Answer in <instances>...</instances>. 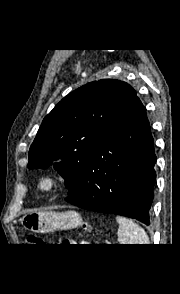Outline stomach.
Here are the masks:
<instances>
[{
  "label": "stomach",
  "instance_id": "stomach-1",
  "mask_svg": "<svg viewBox=\"0 0 180 294\" xmlns=\"http://www.w3.org/2000/svg\"><path fill=\"white\" fill-rule=\"evenodd\" d=\"M21 225L32 232L48 233L56 230H68L78 227L82 218L76 211L32 212L20 218Z\"/></svg>",
  "mask_w": 180,
  "mask_h": 294
}]
</instances>
